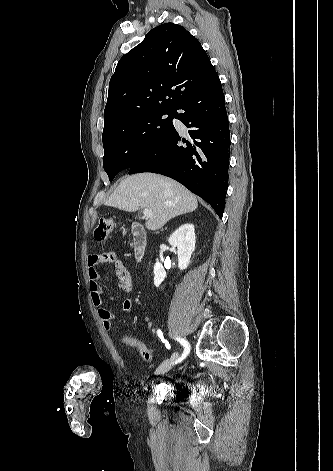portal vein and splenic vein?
<instances>
[{
	"mask_svg": "<svg viewBox=\"0 0 333 471\" xmlns=\"http://www.w3.org/2000/svg\"><path fill=\"white\" fill-rule=\"evenodd\" d=\"M143 214H144V216H146V217H150V216H151V210H150V209H144V210H143Z\"/></svg>",
	"mask_w": 333,
	"mask_h": 471,
	"instance_id": "obj_1",
	"label": "portal vein and splenic vein"
}]
</instances>
